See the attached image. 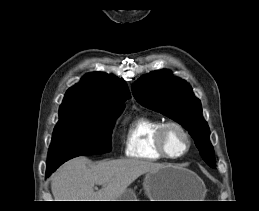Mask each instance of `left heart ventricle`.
I'll list each match as a JSON object with an SVG mask.
<instances>
[{"instance_id": "left-heart-ventricle-1", "label": "left heart ventricle", "mask_w": 259, "mask_h": 211, "mask_svg": "<svg viewBox=\"0 0 259 211\" xmlns=\"http://www.w3.org/2000/svg\"><path fill=\"white\" fill-rule=\"evenodd\" d=\"M165 143L167 150L172 155L180 154L186 146V140L182 133L174 128H169L165 133Z\"/></svg>"}]
</instances>
